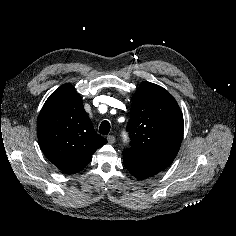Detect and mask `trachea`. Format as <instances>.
<instances>
[{"mask_svg": "<svg viewBox=\"0 0 236 236\" xmlns=\"http://www.w3.org/2000/svg\"><path fill=\"white\" fill-rule=\"evenodd\" d=\"M110 132V123L108 121H103L99 127V133L102 135H107Z\"/></svg>", "mask_w": 236, "mask_h": 236, "instance_id": "1", "label": "trachea"}]
</instances>
